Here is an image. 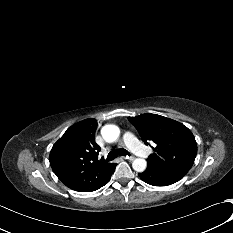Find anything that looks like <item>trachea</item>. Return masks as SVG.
I'll list each match as a JSON object with an SVG mask.
<instances>
[{
  "label": "trachea",
  "mask_w": 233,
  "mask_h": 233,
  "mask_svg": "<svg viewBox=\"0 0 233 233\" xmlns=\"http://www.w3.org/2000/svg\"><path fill=\"white\" fill-rule=\"evenodd\" d=\"M118 155L120 156H126V155H130V153L125 150V149H118V150H113L111 152H109L106 161H112L114 160Z\"/></svg>",
  "instance_id": "trachea-1"
}]
</instances>
